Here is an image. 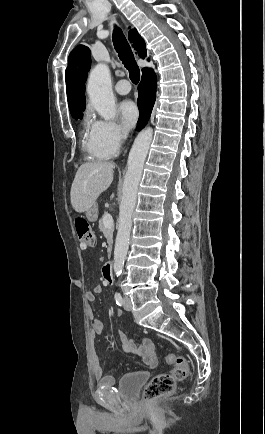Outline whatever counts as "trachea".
Masks as SVG:
<instances>
[{"label":"trachea","mask_w":265,"mask_h":434,"mask_svg":"<svg viewBox=\"0 0 265 434\" xmlns=\"http://www.w3.org/2000/svg\"><path fill=\"white\" fill-rule=\"evenodd\" d=\"M113 43L120 60L129 71L130 80L137 84L140 80V70L134 59L131 48L119 28L114 29Z\"/></svg>","instance_id":"trachea-1"}]
</instances>
